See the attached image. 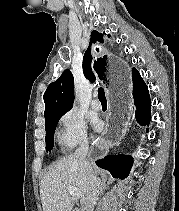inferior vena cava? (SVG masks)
I'll use <instances>...</instances> for the list:
<instances>
[{
	"label": "inferior vena cava",
	"mask_w": 179,
	"mask_h": 211,
	"mask_svg": "<svg viewBox=\"0 0 179 211\" xmlns=\"http://www.w3.org/2000/svg\"><path fill=\"white\" fill-rule=\"evenodd\" d=\"M88 150L89 142L88 140H84L74 153L81 170L84 172L85 177L90 184V189L83 204L82 211H93L94 204L98 200V196L100 194L99 179L94 176L92 165L87 159Z\"/></svg>",
	"instance_id": "inferior-vena-cava-1"
}]
</instances>
